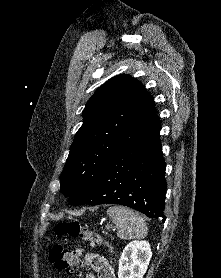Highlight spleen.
<instances>
[{"label": "spleen", "mask_w": 221, "mask_h": 278, "mask_svg": "<svg viewBox=\"0 0 221 278\" xmlns=\"http://www.w3.org/2000/svg\"><path fill=\"white\" fill-rule=\"evenodd\" d=\"M107 215L117 226V236L123 240L141 239L147 235L144 219L133 210L123 206H112Z\"/></svg>", "instance_id": "obj_1"}]
</instances>
